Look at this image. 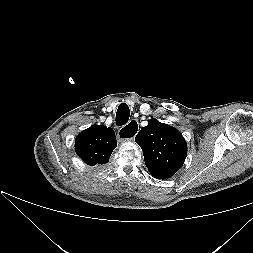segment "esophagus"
Instances as JSON below:
<instances>
[{
	"instance_id": "obj_1",
	"label": "esophagus",
	"mask_w": 253,
	"mask_h": 253,
	"mask_svg": "<svg viewBox=\"0 0 253 253\" xmlns=\"http://www.w3.org/2000/svg\"><path fill=\"white\" fill-rule=\"evenodd\" d=\"M130 123L118 130V137L121 140L133 139L136 136L139 130V124L136 120H132Z\"/></svg>"
}]
</instances>
